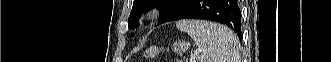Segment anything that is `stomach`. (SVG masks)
<instances>
[{"label": "stomach", "mask_w": 331, "mask_h": 62, "mask_svg": "<svg viewBox=\"0 0 331 62\" xmlns=\"http://www.w3.org/2000/svg\"><path fill=\"white\" fill-rule=\"evenodd\" d=\"M187 49H188V45L185 42L180 41V40L174 42L173 45H172V50L177 54H182ZM159 52H160V49H158L157 47H150L147 50L148 56H150L152 58L157 56L159 54Z\"/></svg>", "instance_id": "0dacf381"}]
</instances>
